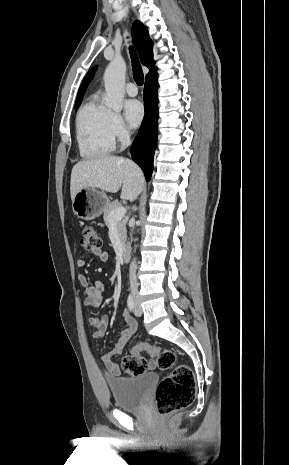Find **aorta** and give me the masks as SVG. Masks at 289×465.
<instances>
[{
    "mask_svg": "<svg viewBox=\"0 0 289 465\" xmlns=\"http://www.w3.org/2000/svg\"><path fill=\"white\" fill-rule=\"evenodd\" d=\"M125 73L126 63L122 57L114 58L104 73L105 105L116 112H120L123 107Z\"/></svg>",
    "mask_w": 289,
    "mask_h": 465,
    "instance_id": "aorta-1",
    "label": "aorta"
}]
</instances>
